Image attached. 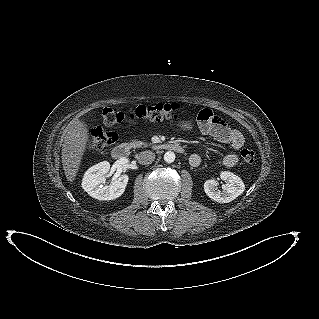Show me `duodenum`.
<instances>
[{
  "mask_svg": "<svg viewBox=\"0 0 319 319\" xmlns=\"http://www.w3.org/2000/svg\"><path fill=\"white\" fill-rule=\"evenodd\" d=\"M155 149L169 150L177 153H183L184 149L181 145L175 142H163L154 146ZM129 145L127 143H120L112 149V157L116 160L126 158L129 154Z\"/></svg>",
  "mask_w": 319,
  "mask_h": 319,
  "instance_id": "obj_1",
  "label": "duodenum"
}]
</instances>
